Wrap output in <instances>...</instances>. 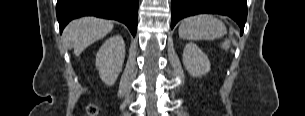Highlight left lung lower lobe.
<instances>
[{
	"instance_id": "obj_1",
	"label": "left lung lower lobe",
	"mask_w": 305,
	"mask_h": 116,
	"mask_svg": "<svg viewBox=\"0 0 305 116\" xmlns=\"http://www.w3.org/2000/svg\"><path fill=\"white\" fill-rule=\"evenodd\" d=\"M216 13L234 19L244 30L247 19L246 0H172L171 29L182 18L201 14Z\"/></svg>"
}]
</instances>
